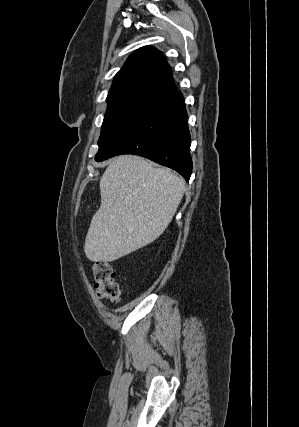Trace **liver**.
<instances>
[{"label":"liver","instance_id":"obj_1","mask_svg":"<svg viewBox=\"0 0 299 427\" xmlns=\"http://www.w3.org/2000/svg\"><path fill=\"white\" fill-rule=\"evenodd\" d=\"M99 186L101 205L84 245L93 262L115 261L156 240L185 192V181L177 174L134 155L112 160Z\"/></svg>","mask_w":299,"mask_h":427}]
</instances>
